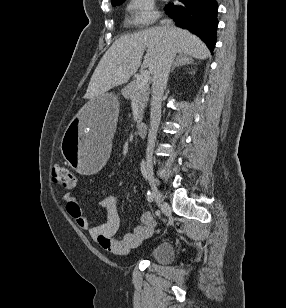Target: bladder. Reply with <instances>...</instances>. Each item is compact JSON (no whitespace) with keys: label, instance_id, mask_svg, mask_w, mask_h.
<instances>
[{"label":"bladder","instance_id":"31cf9c89","mask_svg":"<svg viewBox=\"0 0 286 308\" xmlns=\"http://www.w3.org/2000/svg\"><path fill=\"white\" fill-rule=\"evenodd\" d=\"M147 257L157 263H168L173 258V247L169 242H160L148 251Z\"/></svg>","mask_w":286,"mask_h":308}]
</instances>
